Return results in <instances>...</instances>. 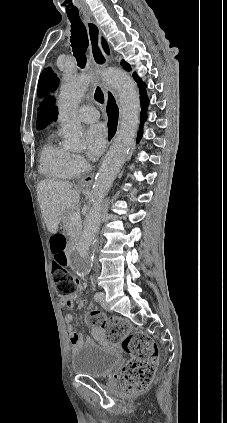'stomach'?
Segmentation results:
<instances>
[{"label":"stomach","instance_id":"1","mask_svg":"<svg viewBox=\"0 0 227 423\" xmlns=\"http://www.w3.org/2000/svg\"><path fill=\"white\" fill-rule=\"evenodd\" d=\"M79 188H81V190H85V188H82L81 184H80Z\"/></svg>","mask_w":227,"mask_h":423}]
</instances>
